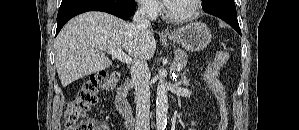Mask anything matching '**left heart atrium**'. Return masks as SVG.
Segmentation results:
<instances>
[{"mask_svg": "<svg viewBox=\"0 0 299 130\" xmlns=\"http://www.w3.org/2000/svg\"><path fill=\"white\" fill-rule=\"evenodd\" d=\"M171 1L170 0H166V3H170Z\"/></svg>", "mask_w": 299, "mask_h": 130, "instance_id": "left-heart-atrium-1", "label": "left heart atrium"}]
</instances>
